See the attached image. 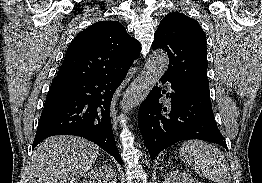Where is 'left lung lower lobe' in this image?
I'll use <instances>...</instances> for the list:
<instances>
[{"mask_svg": "<svg viewBox=\"0 0 262 183\" xmlns=\"http://www.w3.org/2000/svg\"><path fill=\"white\" fill-rule=\"evenodd\" d=\"M166 81L173 89L169 112L162 113L163 107L159 103L166 91L155 86L138 114V125L152 161L163 149L188 139L217 143L227 149L214 120L209 94L193 90L168 74L160 78L162 84ZM163 111L166 112L167 108L164 107Z\"/></svg>", "mask_w": 262, "mask_h": 183, "instance_id": "left-lung-lower-lobe-1", "label": "left lung lower lobe"}]
</instances>
